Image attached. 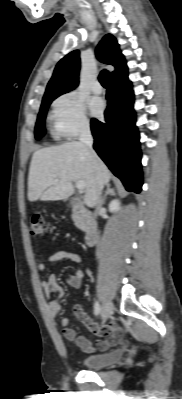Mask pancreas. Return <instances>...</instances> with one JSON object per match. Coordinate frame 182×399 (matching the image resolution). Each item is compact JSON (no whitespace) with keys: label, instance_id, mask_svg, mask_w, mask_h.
I'll list each match as a JSON object with an SVG mask.
<instances>
[{"label":"pancreas","instance_id":"obj_1","mask_svg":"<svg viewBox=\"0 0 182 399\" xmlns=\"http://www.w3.org/2000/svg\"><path fill=\"white\" fill-rule=\"evenodd\" d=\"M72 219H73V221L75 222V225H76L79 229H82V230L84 229L85 224H84V222H83L82 220H80V218L77 216L76 213H73Z\"/></svg>","mask_w":182,"mask_h":399}]
</instances>
